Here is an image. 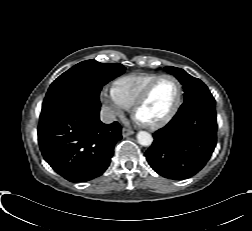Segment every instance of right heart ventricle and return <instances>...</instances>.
Masks as SVG:
<instances>
[{"label":"right heart ventricle","mask_w":252,"mask_h":231,"mask_svg":"<svg viewBox=\"0 0 252 231\" xmlns=\"http://www.w3.org/2000/svg\"><path fill=\"white\" fill-rule=\"evenodd\" d=\"M156 73H134L122 76L114 82V89L117 95L128 105L133 106L134 102L141 95L144 89L157 77Z\"/></svg>","instance_id":"e07e8e85"}]
</instances>
